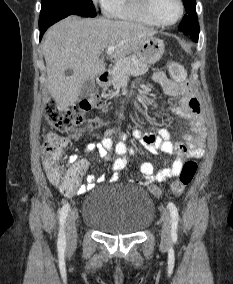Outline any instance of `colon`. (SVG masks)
I'll use <instances>...</instances> for the list:
<instances>
[{"label":"colon","instance_id":"colon-1","mask_svg":"<svg viewBox=\"0 0 233 284\" xmlns=\"http://www.w3.org/2000/svg\"><path fill=\"white\" fill-rule=\"evenodd\" d=\"M168 70L175 81L182 82L186 77L184 67L178 62L171 61L168 64ZM103 106L104 100L99 95L86 98L79 104L64 110L60 109L55 101L47 103L45 117L52 130L45 135L42 157L43 161L53 169L57 186L63 194L73 195L77 193L80 188L81 175L76 172L63 171L58 166L59 157L66 143L60 133L68 132L72 128L82 125L87 113ZM197 168V163L192 160L183 164L178 178L170 186L174 195H180L184 192L195 177ZM148 191L155 198L161 196L160 189L155 185L149 186Z\"/></svg>","mask_w":233,"mask_h":284}]
</instances>
